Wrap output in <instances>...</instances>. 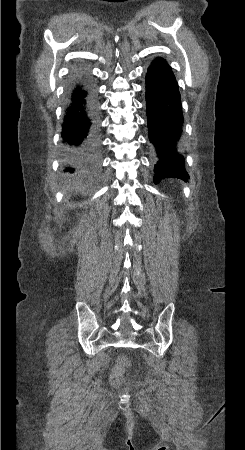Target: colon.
<instances>
[{"mask_svg": "<svg viewBox=\"0 0 245 450\" xmlns=\"http://www.w3.org/2000/svg\"><path fill=\"white\" fill-rule=\"evenodd\" d=\"M126 366H127V359L125 357H121L118 360L116 369H115V371L113 373V377H112V380H111L113 385L120 384L121 379L124 376V370H125Z\"/></svg>", "mask_w": 245, "mask_h": 450, "instance_id": "5ec220e1", "label": "colon"}]
</instances>
